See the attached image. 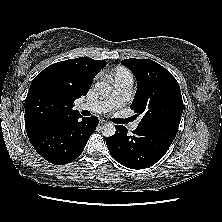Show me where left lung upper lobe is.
<instances>
[{
	"mask_svg": "<svg viewBox=\"0 0 222 222\" xmlns=\"http://www.w3.org/2000/svg\"><path fill=\"white\" fill-rule=\"evenodd\" d=\"M137 79L131 104L142 119L139 126H170L178 129L183 113L181 90L174 76L160 64L148 59L122 61Z\"/></svg>",
	"mask_w": 222,
	"mask_h": 222,
	"instance_id": "obj_1",
	"label": "left lung upper lobe"
}]
</instances>
